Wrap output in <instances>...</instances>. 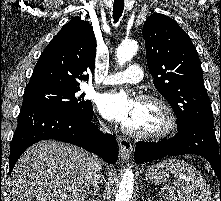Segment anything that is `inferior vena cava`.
Wrapping results in <instances>:
<instances>
[{"instance_id":"obj_1","label":"inferior vena cava","mask_w":221,"mask_h":201,"mask_svg":"<svg viewBox=\"0 0 221 201\" xmlns=\"http://www.w3.org/2000/svg\"><path fill=\"white\" fill-rule=\"evenodd\" d=\"M102 130L104 132L107 131L106 127L103 126ZM100 170H101V161L98 160L96 168L94 170V174H93V179H92V186L94 187V189H98L99 187V180H100Z\"/></svg>"}]
</instances>
